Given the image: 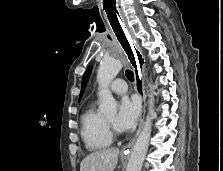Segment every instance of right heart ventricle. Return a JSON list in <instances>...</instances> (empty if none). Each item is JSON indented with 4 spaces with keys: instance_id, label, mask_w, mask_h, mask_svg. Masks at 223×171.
<instances>
[{
    "instance_id": "1",
    "label": "right heart ventricle",
    "mask_w": 223,
    "mask_h": 171,
    "mask_svg": "<svg viewBox=\"0 0 223 171\" xmlns=\"http://www.w3.org/2000/svg\"><path fill=\"white\" fill-rule=\"evenodd\" d=\"M81 138L89 151H100L112 143V135L102 117L91 103L81 116Z\"/></svg>"
}]
</instances>
